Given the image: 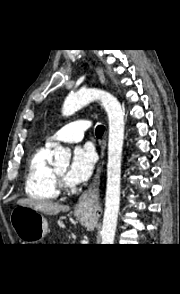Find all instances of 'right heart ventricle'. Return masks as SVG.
<instances>
[{
	"label": "right heart ventricle",
	"instance_id": "right-heart-ventricle-1",
	"mask_svg": "<svg viewBox=\"0 0 180 294\" xmlns=\"http://www.w3.org/2000/svg\"><path fill=\"white\" fill-rule=\"evenodd\" d=\"M51 148L47 144L39 147L28 162L25 192L37 200L51 201L59 195L54 169L49 164Z\"/></svg>",
	"mask_w": 180,
	"mask_h": 294
}]
</instances>
